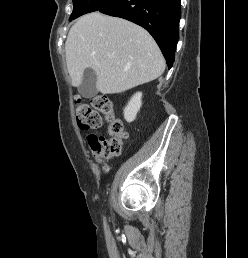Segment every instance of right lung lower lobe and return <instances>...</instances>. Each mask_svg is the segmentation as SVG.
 <instances>
[{
    "label": "right lung lower lobe",
    "mask_w": 248,
    "mask_h": 258,
    "mask_svg": "<svg viewBox=\"0 0 248 258\" xmlns=\"http://www.w3.org/2000/svg\"><path fill=\"white\" fill-rule=\"evenodd\" d=\"M99 11L145 28L160 47L168 68L172 67L179 35L180 0H113Z\"/></svg>",
    "instance_id": "98d812e1"
}]
</instances>
